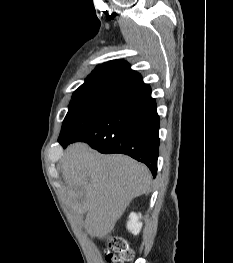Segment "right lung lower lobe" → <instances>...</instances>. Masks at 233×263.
<instances>
[{
  "label": "right lung lower lobe",
  "mask_w": 233,
  "mask_h": 263,
  "mask_svg": "<svg viewBox=\"0 0 233 263\" xmlns=\"http://www.w3.org/2000/svg\"><path fill=\"white\" fill-rule=\"evenodd\" d=\"M159 116L151 88L142 84L114 100L105 114L91 127L70 140H59L63 147L82 141L101 153H122L145 163L153 176L159 155Z\"/></svg>",
  "instance_id": "obj_1"
}]
</instances>
